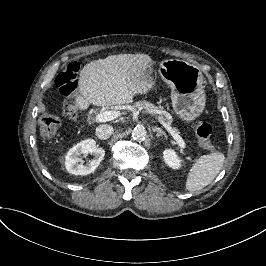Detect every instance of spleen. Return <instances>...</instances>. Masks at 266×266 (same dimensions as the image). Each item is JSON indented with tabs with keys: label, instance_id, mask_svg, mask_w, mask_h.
<instances>
[{
	"label": "spleen",
	"instance_id": "obj_1",
	"mask_svg": "<svg viewBox=\"0 0 266 266\" xmlns=\"http://www.w3.org/2000/svg\"><path fill=\"white\" fill-rule=\"evenodd\" d=\"M225 156L214 152L201 156L192 166L186 181V189L195 192L209 185L220 172Z\"/></svg>",
	"mask_w": 266,
	"mask_h": 266
}]
</instances>
